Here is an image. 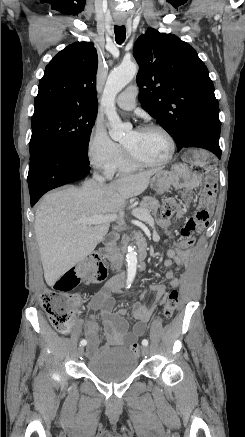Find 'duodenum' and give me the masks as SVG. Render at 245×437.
<instances>
[{"label": "duodenum", "mask_w": 245, "mask_h": 437, "mask_svg": "<svg viewBox=\"0 0 245 437\" xmlns=\"http://www.w3.org/2000/svg\"><path fill=\"white\" fill-rule=\"evenodd\" d=\"M116 238V233H110L106 238V246L100 251V255L103 259L108 261H123L124 255L118 252L113 247V242ZM138 257V268L145 269L147 267L146 257H147V248L145 245L139 247L137 251ZM118 281V279H116Z\"/></svg>", "instance_id": "duodenum-1"}]
</instances>
